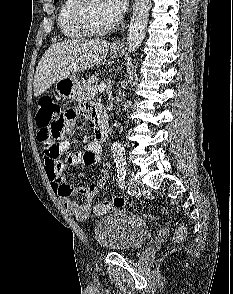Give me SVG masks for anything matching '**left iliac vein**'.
<instances>
[{
    "label": "left iliac vein",
    "mask_w": 233,
    "mask_h": 294,
    "mask_svg": "<svg viewBox=\"0 0 233 294\" xmlns=\"http://www.w3.org/2000/svg\"><path fill=\"white\" fill-rule=\"evenodd\" d=\"M128 185H129V188L133 191H137V190L139 192L141 191V189H137V183L132 177H130Z\"/></svg>",
    "instance_id": "obj_1"
}]
</instances>
